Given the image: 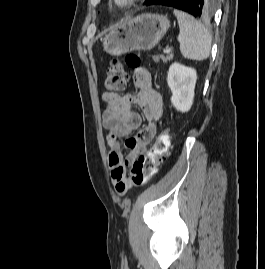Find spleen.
<instances>
[{
	"label": "spleen",
	"mask_w": 265,
	"mask_h": 269,
	"mask_svg": "<svg viewBox=\"0 0 265 269\" xmlns=\"http://www.w3.org/2000/svg\"><path fill=\"white\" fill-rule=\"evenodd\" d=\"M179 25L178 41L184 58L202 61L209 57L212 35L199 21L186 12L174 9Z\"/></svg>",
	"instance_id": "1"
}]
</instances>
